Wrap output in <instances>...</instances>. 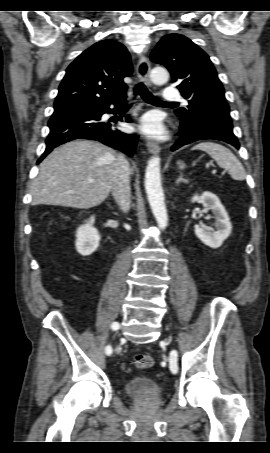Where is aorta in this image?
Returning a JSON list of instances; mask_svg holds the SVG:
<instances>
[{
    "label": "aorta",
    "mask_w": 270,
    "mask_h": 453,
    "mask_svg": "<svg viewBox=\"0 0 270 453\" xmlns=\"http://www.w3.org/2000/svg\"><path fill=\"white\" fill-rule=\"evenodd\" d=\"M150 78L155 84H164L168 81L169 74L163 67H155L150 73ZM145 189L152 213L160 229H165L168 218L164 202V194L160 177V158L153 156L148 161L145 171Z\"/></svg>",
    "instance_id": "aorta-1"
}]
</instances>
